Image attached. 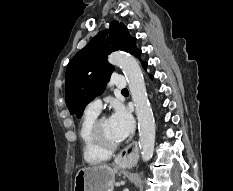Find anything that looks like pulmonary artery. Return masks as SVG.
Masks as SVG:
<instances>
[{"mask_svg": "<svg viewBox=\"0 0 233 191\" xmlns=\"http://www.w3.org/2000/svg\"><path fill=\"white\" fill-rule=\"evenodd\" d=\"M110 85L117 89H123L126 87V79L122 75L113 76L111 78ZM101 106L102 103L100 98H95L88 104L86 110L94 113H99L101 110Z\"/></svg>", "mask_w": 233, "mask_h": 191, "instance_id": "pulmonary-artery-1", "label": "pulmonary artery"}]
</instances>
